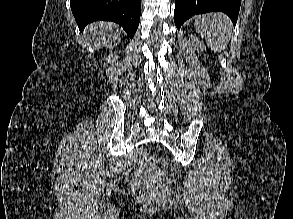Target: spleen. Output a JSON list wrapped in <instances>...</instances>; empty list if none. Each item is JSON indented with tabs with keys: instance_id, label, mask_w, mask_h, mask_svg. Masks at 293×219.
Instances as JSON below:
<instances>
[{
	"instance_id": "3e777b00",
	"label": "spleen",
	"mask_w": 293,
	"mask_h": 219,
	"mask_svg": "<svg viewBox=\"0 0 293 219\" xmlns=\"http://www.w3.org/2000/svg\"><path fill=\"white\" fill-rule=\"evenodd\" d=\"M197 33L211 49L220 53L227 48L232 36V22L223 13H208L195 17Z\"/></svg>"
}]
</instances>
